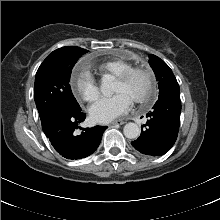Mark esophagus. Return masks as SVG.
I'll use <instances>...</instances> for the list:
<instances>
[{
  "label": "esophagus",
  "instance_id": "34e87169",
  "mask_svg": "<svg viewBox=\"0 0 220 220\" xmlns=\"http://www.w3.org/2000/svg\"><path fill=\"white\" fill-rule=\"evenodd\" d=\"M126 122L122 119H119V120H116L114 122H112L111 124L112 125H122V124H125Z\"/></svg>",
  "mask_w": 220,
  "mask_h": 220
}]
</instances>
